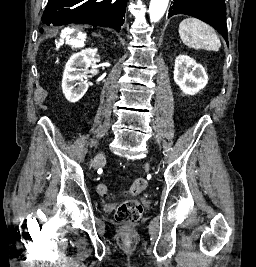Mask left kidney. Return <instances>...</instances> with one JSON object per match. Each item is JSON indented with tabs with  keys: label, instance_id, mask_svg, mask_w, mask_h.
<instances>
[{
	"label": "left kidney",
	"instance_id": "1",
	"mask_svg": "<svg viewBox=\"0 0 256 267\" xmlns=\"http://www.w3.org/2000/svg\"><path fill=\"white\" fill-rule=\"evenodd\" d=\"M174 82L178 84L184 94L194 96L205 88L208 76L201 64H197L186 54H180L174 64Z\"/></svg>",
	"mask_w": 256,
	"mask_h": 267
}]
</instances>
